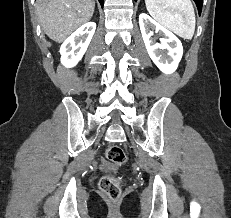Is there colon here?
Wrapping results in <instances>:
<instances>
[{"instance_id": "colon-1", "label": "colon", "mask_w": 231, "mask_h": 218, "mask_svg": "<svg viewBox=\"0 0 231 218\" xmlns=\"http://www.w3.org/2000/svg\"><path fill=\"white\" fill-rule=\"evenodd\" d=\"M106 157L114 165H122L126 161V156L121 147L112 145L106 149ZM101 191L111 200H117L122 193L121 181L112 175H105L99 182Z\"/></svg>"}]
</instances>
